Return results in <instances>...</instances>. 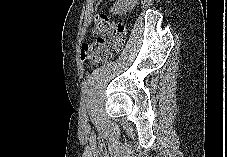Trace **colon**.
<instances>
[{"mask_svg":"<svg viewBox=\"0 0 227 157\" xmlns=\"http://www.w3.org/2000/svg\"><path fill=\"white\" fill-rule=\"evenodd\" d=\"M92 34L96 41L85 45L81 51L82 61L96 64L115 56L125 42V27L123 24L110 20L107 16L96 19Z\"/></svg>","mask_w":227,"mask_h":157,"instance_id":"obj_1","label":"colon"}]
</instances>
